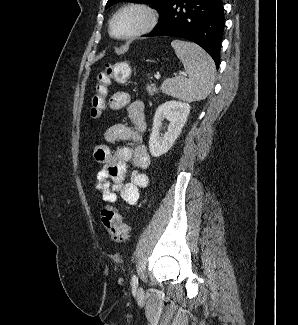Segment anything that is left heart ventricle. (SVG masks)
Returning <instances> with one entry per match:
<instances>
[{
  "label": "left heart ventricle",
  "mask_w": 298,
  "mask_h": 325,
  "mask_svg": "<svg viewBox=\"0 0 298 325\" xmlns=\"http://www.w3.org/2000/svg\"><path fill=\"white\" fill-rule=\"evenodd\" d=\"M139 26V19L134 15L120 17L115 24L114 32L117 36H128Z\"/></svg>",
  "instance_id": "obj_1"
}]
</instances>
